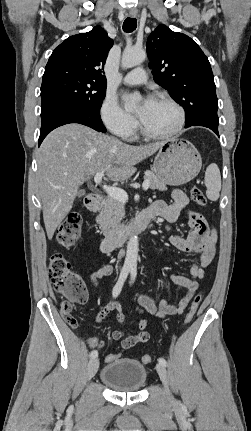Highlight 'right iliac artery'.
Returning <instances> with one entry per match:
<instances>
[{"label": "right iliac artery", "instance_id": "right-iliac-artery-1", "mask_svg": "<svg viewBox=\"0 0 251 431\" xmlns=\"http://www.w3.org/2000/svg\"><path fill=\"white\" fill-rule=\"evenodd\" d=\"M129 272H130V268L124 266L119 276V279L112 290V295L114 298H116L120 294ZM97 356H98V352L96 350L91 351L90 357L92 359L96 358Z\"/></svg>", "mask_w": 251, "mask_h": 431}]
</instances>
